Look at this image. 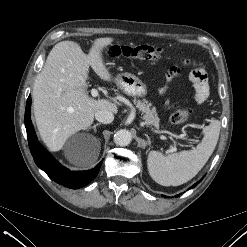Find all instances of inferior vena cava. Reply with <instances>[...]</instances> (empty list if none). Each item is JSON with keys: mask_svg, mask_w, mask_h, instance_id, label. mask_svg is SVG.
<instances>
[{"mask_svg": "<svg viewBox=\"0 0 247 247\" xmlns=\"http://www.w3.org/2000/svg\"><path fill=\"white\" fill-rule=\"evenodd\" d=\"M95 118L97 121L104 123V124H109L114 120V115L112 112L108 110H98L95 113Z\"/></svg>", "mask_w": 247, "mask_h": 247, "instance_id": "inferior-vena-cava-1", "label": "inferior vena cava"}]
</instances>
